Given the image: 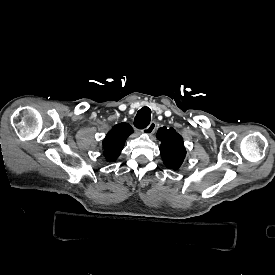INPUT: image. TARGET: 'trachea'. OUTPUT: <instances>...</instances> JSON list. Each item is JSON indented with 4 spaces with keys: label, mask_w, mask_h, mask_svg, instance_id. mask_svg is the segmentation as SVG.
<instances>
[{
    "label": "trachea",
    "mask_w": 275,
    "mask_h": 275,
    "mask_svg": "<svg viewBox=\"0 0 275 275\" xmlns=\"http://www.w3.org/2000/svg\"><path fill=\"white\" fill-rule=\"evenodd\" d=\"M150 119H151V110L150 108L145 106L138 111L134 119V125L138 129H145L149 125Z\"/></svg>",
    "instance_id": "obj_1"
}]
</instances>
